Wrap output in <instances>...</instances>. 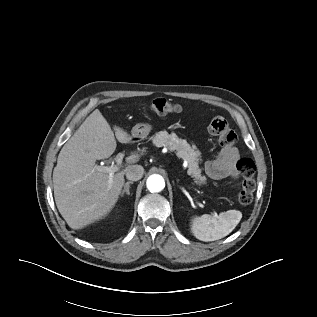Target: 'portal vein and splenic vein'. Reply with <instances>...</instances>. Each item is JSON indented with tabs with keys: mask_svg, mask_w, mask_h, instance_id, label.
I'll list each match as a JSON object with an SVG mask.
<instances>
[{
	"mask_svg": "<svg viewBox=\"0 0 317 317\" xmlns=\"http://www.w3.org/2000/svg\"><path fill=\"white\" fill-rule=\"evenodd\" d=\"M123 157H124V154L119 153L115 158L117 165L112 164L109 167H103L101 169L104 170L105 172L109 173L110 176H112L116 171L119 170L120 167L118 165L121 164ZM111 182H112V179H110L109 183H111ZM214 215L217 217V213H214Z\"/></svg>",
	"mask_w": 317,
	"mask_h": 317,
	"instance_id": "obj_1",
	"label": "portal vein and splenic vein"
}]
</instances>
